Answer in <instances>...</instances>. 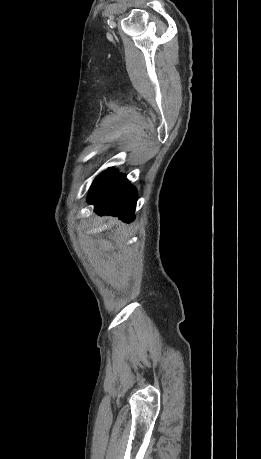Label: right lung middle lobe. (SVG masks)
Listing matches in <instances>:
<instances>
[{
  "instance_id": "1",
  "label": "right lung middle lobe",
  "mask_w": 261,
  "mask_h": 459,
  "mask_svg": "<svg viewBox=\"0 0 261 459\" xmlns=\"http://www.w3.org/2000/svg\"><path fill=\"white\" fill-rule=\"evenodd\" d=\"M116 170L108 168L106 171L101 173L92 183L88 197H90L105 181H107Z\"/></svg>"
}]
</instances>
